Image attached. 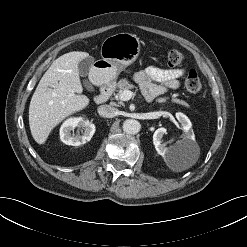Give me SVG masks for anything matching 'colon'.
Here are the masks:
<instances>
[{
	"mask_svg": "<svg viewBox=\"0 0 247 247\" xmlns=\"http://www.w3.org/2000/svg\"><path fill=\"white\" fill-rule=\"evenodd\" d=\"M167 64L170 67H182L186 63L185 56L176 49H168L165 54ZM185 88L192 94H197L201 90V80L196 70L191 69L185 77Z\"/></svg>",
	"mask_w": 247,
	"mask_h": 247,
	"instance_id": "5ec220e1",
	"label": "colon"
}]
</instances>
